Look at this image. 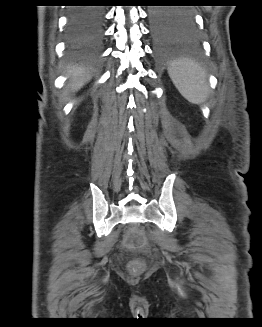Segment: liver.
Masks as SVG:
<instances>
[{"instance_id":"obj_1","label":"liver","mask_w":262,"mask_h":327,"mask_svg":"<svg viewBox=\"0 0 262 327\" xmlns=\"http://www.w3.org/2000/svg\"><path fill=\"white\" fill-rule=\"evenodd\" d=\"M67 73L70 76L69 87L72 91L79 90L90 79L88 70L78 65L68 67Z\"/></svg>"}]
</instances>
